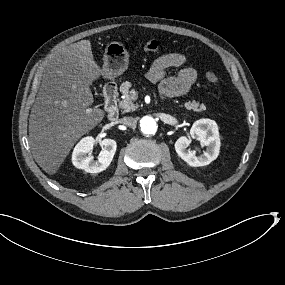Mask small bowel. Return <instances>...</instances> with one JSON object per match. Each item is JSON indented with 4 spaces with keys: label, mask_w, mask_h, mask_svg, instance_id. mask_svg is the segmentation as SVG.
Masks as SVG:
<instances>
[{
    "label": "small bowel",
    "mask_w": 285,
    "mask_h": 285,
    "mask_svg": "<svg viewBox=\"0 0 285 285\" xmlns=\"http://www.w3.org/2000/svg\"><path fill=\"white\" fill-rule=\"evenodd\" d=\"M186 57L181 53H167L159 56L147 72L150 81L159 84L160 93L165 97H174L188 93L197 80V72L184 67ZM178 68L174 76L168 70Z\"/></svg>",
    "instance_id": "small-bowel-1"
}]
</instances>
